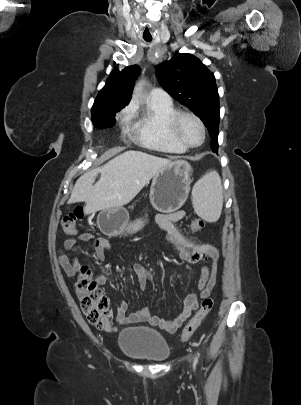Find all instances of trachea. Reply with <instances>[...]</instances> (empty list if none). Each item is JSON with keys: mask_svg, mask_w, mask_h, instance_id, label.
I'll use <instances>...</instances> for the list:
<instances>
[{"mask_svg": "<svg viewBox=\"0 0 301 405\" xmlns=\"http://www.w3.org/2000/svg\"><path fill=\"white\" fill-rule=\"evenodd\" d=\"M144 40L147 41V42H150V41L152 40V37H151V36H149V37H144Z\"/></svg>", "mask_w": 301, "mask_h": 405, "instance_id": "trachea-1", "label": "trachea"}]
</instances>
